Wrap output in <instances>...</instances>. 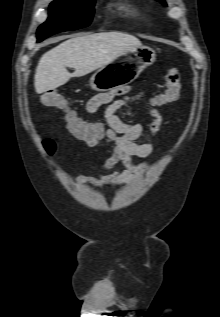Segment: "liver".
<instances>
[{
    "label": "liver",
    "instance_id": "6515ba94",
    "mask_svg": "<svg viewBox=\"0 0 220 317\" xmlns=\"http://www.w3.org/2000/svg\"><path fill=\"white\" fill-rule=\"evenodd\" d=\"M139 47L142 43L138 38L121 32L71 37L42 55L35 70V91L41 94L56 89L70 78L87 75ZM67 67L75 71L69 73Z\"/></svg>",
    "mask_w": 220,
    "mask_h": 317
}]
</instances>
